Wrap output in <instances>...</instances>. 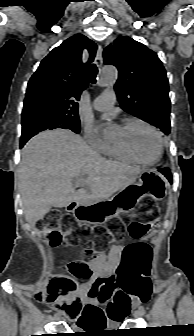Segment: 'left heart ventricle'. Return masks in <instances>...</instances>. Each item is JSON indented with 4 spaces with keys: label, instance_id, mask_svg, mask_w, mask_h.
Here are the masks:
<instances>
[{
    "label": "left heart ventricle",
    "instance_id": "1",
    "mask_svg": "<svg viewBox=\"0 0 194 336\" xmlns=\"http://www.w3.org/2000/svg\"><path fill=\"white\" fill-rule=\"evenodd\" d=\"M114 142L125 143L138 157L153 160L158 154V140L147 127L135 124L126 129L119 128Z\"/></svg>",
    "mask_w": 194,
    "mask_h": 336
}]
</instances>
